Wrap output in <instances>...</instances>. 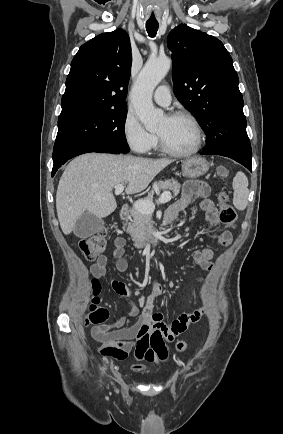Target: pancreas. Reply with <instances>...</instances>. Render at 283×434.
Masks as SVG:
<instances>
[{"label": "pancreas", "mask_w": 283, "mask_h": 434, "mask_svg": "<svg viewBox=\"0 0 283 434\" xmlns=\"http://www.w3.org/2000/svg\"><path fill=\"white\" fill-rule=\"evenodd\" d=\"M160 190L166 191L170 190L173 193V197H176L180 192V184L174 179L160 181L157 184ZM153 198V191L145 199L146 201H151ZM130 216L133 218L130 222L124 225L126 226L127 233L130 234L135 245L138 247L144 246L146 240L150 237L153 228L152 215L149 213H142L138 211L135 207L128 209Z\"/></svg>", "instance_id": "1"}]
</instances>
